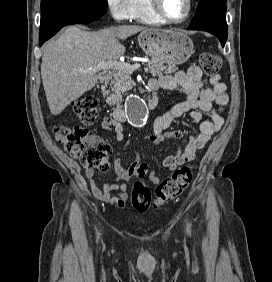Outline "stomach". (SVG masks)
I'll use <instances>...</instances> for the list:
<instances>
[{
  "label": "stomach",
  "mask_w": 272,
  "mask_h": 282,
  "mask_svg": "<svg viewBox=\"0 0 272 282\" xmlns=\"http://www.w3.org/2000/svg\"><path fill=\"white\" fill-rule=\"evenodd\" d=\"M138 42L154 61L171 65L186 62L194 48L190 37L176 29H146L139 34Z\"/></svg>",
  "instance_id": "1"
}]
</instances>
